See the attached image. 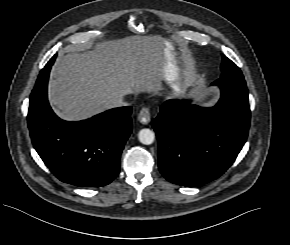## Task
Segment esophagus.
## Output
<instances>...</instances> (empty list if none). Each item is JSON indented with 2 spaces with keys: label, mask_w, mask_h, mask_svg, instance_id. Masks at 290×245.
<instances>
[{
  "label": "esophagus",
  "mask_w": 290,
  "mask_h": 245,
  "mask_svg": "<svg viewBox=\"0 0 290 245\" xmlns=\"http://www.w3.org/2000/svg\"><path fill=\"white\" fill-rule=\"evenodd\" d=\"M151 114L148 107H143L138 114V121L142 124H147L150 122Z\"/></svg>",
  "instance_id": "obj_1"
}]
</instances>
